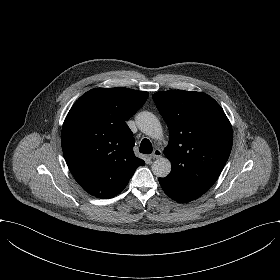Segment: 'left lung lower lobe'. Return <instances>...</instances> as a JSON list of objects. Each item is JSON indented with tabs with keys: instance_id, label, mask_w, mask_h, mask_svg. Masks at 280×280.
<instances>
[{
	"instance_id": "0a47b994",
	"label": "left lung lower lobe",
	"mask_w": 280,
	"mask_h": 280,
	"mask_svg": "<svg viewBox=\"0 0 280 280\" xmlns=\"http://www.w3.org/2000/svg\"><path fill=\"white\" fill-rule=\"evenodd\" d=\"M160 185L162 186L164 192L173 200L179 202V203H187L190 202L194 199H197L198 197H200L202 194L200 193H193V194H183V193H177L175 192L172 187L168 184H165L163 182L160 181Z\"/></svg>"
}]
</instances>
